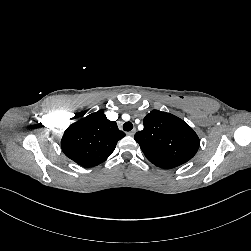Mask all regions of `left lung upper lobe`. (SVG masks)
Here are the masks:
<instances>
[{"label":"left lung upper lobe","mask_w":251,"mask_h":251,"mask_svg":"<svg viewBox=\"0 0 251 251\" xmlns=\"http://www.w3.org/2000/svg\"><path fill=\"white\" fill-rule=\"evenodd\" d=\"M144 129L135 134L146 158L154 165L171 169L190 160L199 148V138L182 119L153 110L143 120Z\"/></svg>","instance_id":"5c2ea615"}]
</instances>
